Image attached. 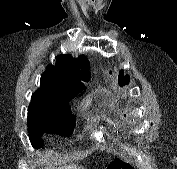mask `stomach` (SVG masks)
Segmentation results:
<instances>
[{"instance_id":"stomach-1","label":"stomach","mask_w":177,"mask_h":169,"mask_svg":"<svg viewBox=\"0 0 177 169\" xmlns=\"http://www.w3.org/2000/svg\"><path fill=\"white\" fill-rule=\"evenodd\" d=\"M108 169H136V165L130 160L115 158L110 162Z\"/></svg>"}]
</instances>
